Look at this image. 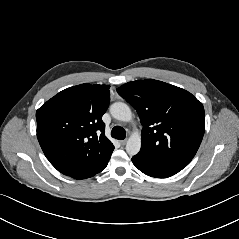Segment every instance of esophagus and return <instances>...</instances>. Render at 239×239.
I'll use <instances>...</instances> for the list:
<instances>
[{
    "instance_id": "obj_1",
    "label": "esophagus",
    "mask_w": 239,
    "mask_h": 239,
    "mask_svg": "<svg viewBox=\"0 0 239 239\" xmlns=\"http://www.w3.org/2000/svg\"><path fill=\"white\" fill-rule=\"evenodd\" d=\"M126 142H127V140H126V139H124V140H121V141H120V144H121V145H125V144H126Z\"/></svg>"
}]
</instances>
